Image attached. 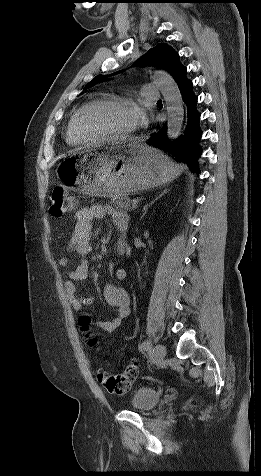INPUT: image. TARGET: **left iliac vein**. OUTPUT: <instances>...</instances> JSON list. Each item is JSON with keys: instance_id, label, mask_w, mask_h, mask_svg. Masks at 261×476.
Wrapping results in <instances>:
<instances>
[{"instance_id": "obj_1", "label": "left iliac vein", "mask_w": 261, "mask_h": 476, "mask_svg": "<svg viewBox=\"0 0 261 476\" xmlns=\"http://www.w3.org/2000/svg\"><path fill=\"white\" fill-rule=\"evenodd\" d=\"M165 355L166 347L162 344H157L152 351V357L157 361H162Z\"/></svg>"}]
</instances>
